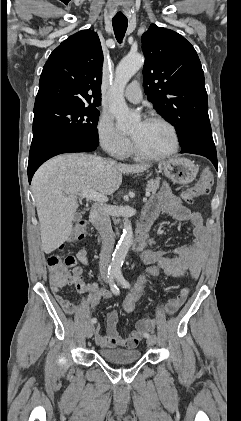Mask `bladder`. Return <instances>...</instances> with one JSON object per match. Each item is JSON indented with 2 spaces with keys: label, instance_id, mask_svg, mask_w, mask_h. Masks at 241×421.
I'll list each match as a JSON object with an SVG mask.
<instances>
[{
  "label": "bladder",
  "instance_id": "31cf9c89",
  "mask_svg": "<svg viewBox=\"0 0 241 421\" xmlns=\"http://www.w3.org/2000/svg\"><path fill=\"white\" fill-rule=\"evenodd\" d=\"M98 354L103 360L113 364L134 363L141 356L139 350L127 349H101Z\"/></svg>",
  "mask_w": 241,
  "mask_h": 421
}]
</instances>
